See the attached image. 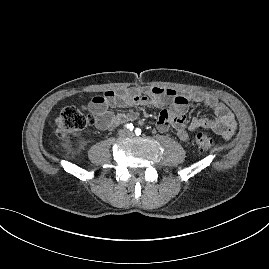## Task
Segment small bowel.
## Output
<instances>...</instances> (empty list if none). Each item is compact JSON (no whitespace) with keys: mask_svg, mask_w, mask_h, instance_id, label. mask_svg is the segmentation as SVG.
Here are the masks:
<instances>
[{"mask_svg":"<svg viewBox=\"0 0 269 269\" xmlns=\"http://www.w3.org/2000/svg\"><path fill=\"white\" fill-rule=\"evenodd\" d=\"M194 102L210 109L212 118H193L187 121L186 113L189 103ZM157 119V129L167 132L174 128L178 138L187 142L189 131L208 129L224 139H230L236 130V121L231 111L215 96L204 93L179 94L173 89L160 87L130 88L118 91L107 90L102 95L94 97L89 103L90 112L96 116V127L100 130H111L116 126L134 120L135 112L113 113V107H164Z\"/></svg>","mask_w":269,"mask_h":269,"instance_id":"small-bowel-1","label":"small bowel"}]
</instances>
